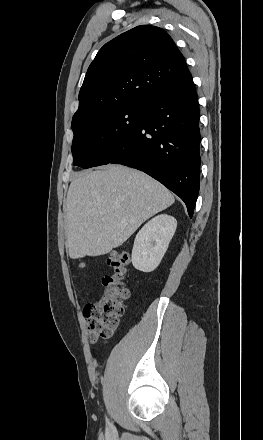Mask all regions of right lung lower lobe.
<instances>
[{"mask_svg":"<svg viewBox=\"0 0 263 440\" xmlns=\"http://www.w3.org/2000/svg\"><path fill=\"white\" fill-rule=\"evenodd\" d=\"M145 116L112 164L141 170L178 195L192 217L200 183L199 104L191 74L145 102Z\"/></svg>","mask_w":263,"mask_h":440,"instance_id":"1","label":"right lung lower lobe"}]
</instances>
